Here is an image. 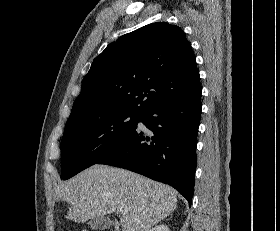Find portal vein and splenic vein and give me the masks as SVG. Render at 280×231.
<instances>
[{
	"label": "portal vein and splenic vein",
	"mask_w": 280,
	"mask_h": 231,
	"mask_svg": "<svg viewBox=\"0 0 280 231\" xmlns=\"http://www.w3.org/2000/svg\"><path fill=\"white\" fill-rule=\"evenodd\" d=\"M119 211H121V213H123V211H126V209H124V207H119Z\"/></svg>",
	"instance_id": "portal-vein-and-splenic-vein-1"
}]
</instances>
